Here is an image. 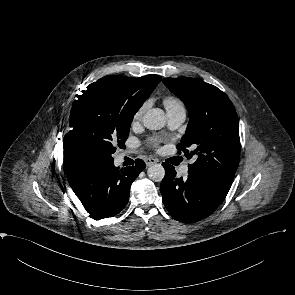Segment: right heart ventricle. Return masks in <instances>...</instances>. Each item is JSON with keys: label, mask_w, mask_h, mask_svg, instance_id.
<instances>
[{"label": "right heart ventricle", "mask_w": 295, "mask_h": 295, "mask_svg": "<svg viewBox=\"0 0 295 295\" xmlns=\"http://www.w3.org/2000/svg\"><path fill=\"white\" fill-rule=\"evenodd\" d=\"M164 105L166 107L167 113L178 111V110H185L182 101L175 96L165 97Z\"/></svg>", "instance_id": "right-heart-ventricle-1"}]
</instances>
